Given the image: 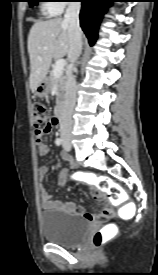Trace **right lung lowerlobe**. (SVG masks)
Returning a JSON list of instances; mask_svg holds the SVG:
<instances>
[{
	"instance_id": "98d812e1",
	"label": "right lung lower lobe",
	"mask_w": 158,
	"mask_h": 275,
	"mask_svg": "<svg viewBox=\"0 0 158 275\" xmlns=\"http://www.w3.org/2000/svg\"><path fill=\"white\" fill-rule=\"evenodd\" d=\"M80 24L90 45H94L98 36V28L103 14L113 0H80Z\"/></svg>"
}]
</instances>
